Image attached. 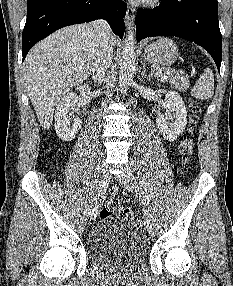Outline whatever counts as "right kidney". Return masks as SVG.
<instances>
[{
    "label": "right kidney",
    "instance_id": "ca27d5eb",
    "mask_svg": "<svg viewBox=\"0 0 233 286\" xmlns=\"http://www.w3.org/2000/svg\"><path fill=\"white\" fill-rule=\"evenodd\" d=\"M81 93L90 92L88 85L76 88ZM78 103V96L75 92H69L59 101L55 111V130L60 139L71 141L75 138L81 126L80 118H72L70 110Z\"/></svg>",
    "mask_w": 233,
    "mask_h": 286
}]
</instances>
